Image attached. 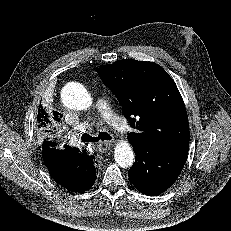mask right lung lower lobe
I'll list each match as a JSON object with an SVG mask.
<instances>
[{
	"mask_svg": "<svg viewBox=\"0 0 231 231\" xmlns=\"http://www.w3.org/2000/svg\"><path fill=\"white\" fill-rule=\"evenodd\" d=\"M42 157H43V160H45V158L57 159V160L62 158V156L59 153V150L55 149V147H52V146L44 147V145H42ZM93 159H94V156H89L85 151H82L81 154L76 158V161L81 162V166H80L81 177H80V180L74 185V187L69 188V190L75 191V192H84L88 190L94 184L96 180V174H95L96 169L94 166ZM84 164L86 166H84ZM52 177L56 182L59 183V180H57L54 176ZM63 187H65V185Z\"/></svg>",
	"mask_w": 231,
	"mask_h": 231,
	"instance_id": "1",
	"label": "right lung lower lobe"
}]
</instances>
